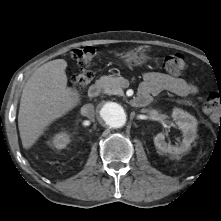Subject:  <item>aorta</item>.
<instances>
[{
    "mask_svg": "<svg viewBox=\"0 0 221 221\" xmlns=\"http://www.w3.org/2000/svg\"><path fill=\"white\" fill-rule=\"evenodd\" d=\"M100 120L112 128L123 127L127 120L125 108L116 102H106L99 110Z\"/></svg>",
    "mask_w": 221,
    "mask_h": 221,
    "instance_id": "1",
    "label": "aorta"
}]
</instances>
